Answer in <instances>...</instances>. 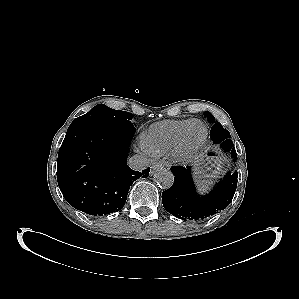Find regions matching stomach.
<instances>
[{
    "mask_svg": "<svg viewBox=\"0 0 299 299\" xmlns=\"http://www.w3.org/2000/svg\"><path fill=\"white\" fill-rule=\"evenodd\" d=\"M201 166L195 172L198 181L216 177L222 170V158L217 150H209L201 158Z\"/></svg>",
    "mask_w": 299,
    "mask_h": 299,
    "instance_id": "1",
    "label": "stomach"
}]
</instances>
